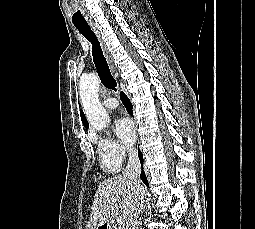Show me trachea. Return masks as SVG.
<instances>
[{"mask_svg": "<svg viewBox=\"0 0 255 229\" xmlns=\"http://www.w3.org/2000/svg\"><path fill=\"white\" fill-rule=\"evenodd\" d=\"M74 26L92 44L93 61L101 82L105 87L116 91L117 83L110 72L108 63L102 52L100 42L98 41L95 33L91 30L87 22L74 23Z\"/></svg>", "mask_w": 255, "mask_h": 229, "instance_id": "obj_1", "label": "trachea"}]
</instances>
